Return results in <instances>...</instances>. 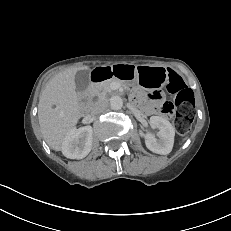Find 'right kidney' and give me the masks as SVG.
I'll return each instance as SVG.
<instances>
[{
	"label": "right kidney",
	"instance_id": "ca27d5eb",
	"mask_svg": "<svg viewBox=\"0 0 231 231\" xmlns=\"http://www.w3.org/2000/svg\"><path fill=\"white\" fill-rule=\"evenodd\" d=\"M92 133L91 126L72 129L63 141V155L70 159H82L86 157L92 148Z\"/></svg>",
	"mask_w": 231,
	"mask_h": 231
}]
</instances>
